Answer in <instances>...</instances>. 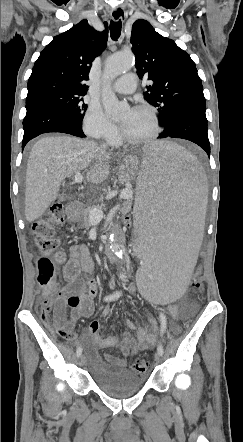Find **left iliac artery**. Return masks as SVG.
Segmentation results:
<instances>
[{
    "label": "left iliac artery",
    "mask_w": 243,
    "mask_h": 442,
    "mask_svg": "<svg viewBox=\"0 0 243 442\" xmlns=\"http://www.w3.org/2000/svg\"><path fill=\"white\" fill-rule=\"evenodd\" d=\"M159 317H160V332H161V335H162L166 331L167 321H166V317H165L164 314L160 313ZM157 351H158L159 354L163 355L164 349H163V346L161 344L158 345Z\"/></svg>",
    "instance_id": "obj_1"
}]
</instances>
